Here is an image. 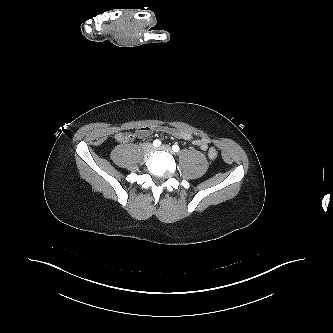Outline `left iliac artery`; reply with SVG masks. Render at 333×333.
<instances>
[{"label":"left iliac artery","mask_w":333,"mask_h":333,"mask_svg":"<svg viewBox=\"0 0 333 333\" xmlns=\"http://www.w3.org/2000/svg\"><path fill=\"white\" fill-rule=\"evenodd\" d=\"M172 149L174 152H179V150H180L179 146L176 144L172 146Z\"/></svg>","instance_id":"1"}]
</instances>
